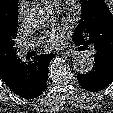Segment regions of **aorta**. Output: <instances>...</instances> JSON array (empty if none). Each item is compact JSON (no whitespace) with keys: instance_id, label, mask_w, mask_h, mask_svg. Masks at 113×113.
Returning <instances> with one entry per match:
<instances>
[{"instance_id":"aorta-1","label":"aorta","mask_w":113,"mask_h":113,"mask_svg":"<svg viewBox=\"0 0 113 113\" xmlns=\"http://www.w3.org/2000/svg\"><path fill=\"white\" fill-rule=\"evenodd\" d=\"M30 15L42 24H46L49 21L48 13L40 8L30 10ZM94 65V58L89 54H79L73 60L74 69L80 74L92 71Z\"/></svg>"}]
</instances>
